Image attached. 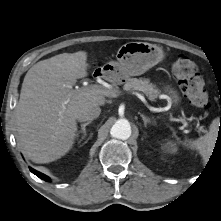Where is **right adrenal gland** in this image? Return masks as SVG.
I'll list each match as a JSON object with an SVG mask.
<instances>
[{"instance_id": "right-adrenal-gland-1", "label": "right adrenal gland", "mask_w": 221, "mask_h": 221, "mask_svg": "<svg viewBox=\"0 0 221 221\" xmlns=\"http://www.w3.org/2000/svg\"><path fill=\"white\" fill-rule=\"evenodd\" d=\"M89 124H91V121H88V122H86L84 124H81V130H79L78 133L76 134L77 137H79L80 133L83 134L81 139H80V141H79V143L86 137V135H87L86 134V126H88Z\"/></svg>"}]
</instances>
